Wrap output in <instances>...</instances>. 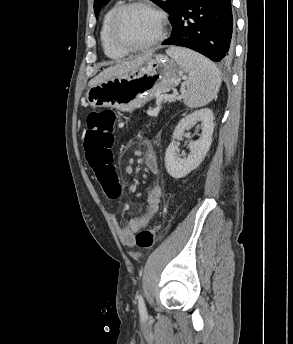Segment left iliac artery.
<instances>
[{
	"label": "left iliac artery",
	"mask_w": 293,
	"mask_h": 344,
	"mask_svg": "<svg viewBox=\"0 0 293 344\" xmlns=\"http://www.w3.org/2000/svg\"><path fill=\"white\" fill-rule=\"evenodd\" d=\"M138 308L142 317L147 316L146 306L141 295L138 296Z\"/></svg>",
	"instance_id": "left-iliac-artery-1"
}]
</instances>
